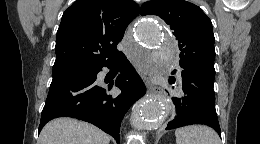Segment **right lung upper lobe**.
<instances>
[{
  "instance_id": "1",
  "label": "right lung upper lobe",
  "mask_w": 260,
  "mask_h": 144,
  "mask_svg": "<svg viewBox=\"0 0 260 144\" xmlns=\"http://www.w3.org/2000/svg\"><path fill=\"white\" fill-rule=\"evenodd\" d=\"M139 14L132 0H76L57 31L53 71L102 65L120 53L117 44Z\"/></svg>"
}]
</instances>
